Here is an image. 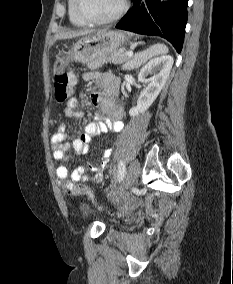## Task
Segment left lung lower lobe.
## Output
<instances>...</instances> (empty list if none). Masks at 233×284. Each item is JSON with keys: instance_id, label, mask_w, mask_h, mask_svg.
<instances>
[{"instance_id": "obj_1", "label": "left lung lower lobe", "mask_w": 233, "mask_h": 284, "mask_svg": "<svg viewBox=\"0 0 233 284\" xmlns=\"http://www.w3.org/2000/svg\"><path fill=\"white\" fill-rule=\"evenodd\" d=\"M188 0H134L133 7L115 26L144 35H157L181 52L187 23Z\"/></svg>"}]
</instances>
